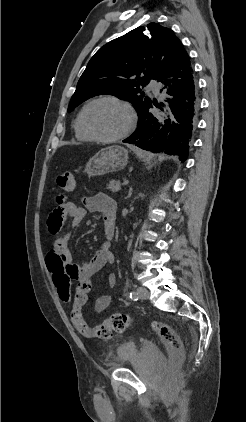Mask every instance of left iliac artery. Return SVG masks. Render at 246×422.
<instances>
[{"instance_id":"44dca946","label":"left iliac artery","mask_w":246,"mask_h":422,"mask_svg":"<svg viewBox=\"0 0 246 422\" xmlns=\"http://www.w3.org/2000/svg\"><path fill=\"white\" fill-rule=\"evenodd\" d=\"M129 297H130L132 300H137V299H138V295H137V293H136V292H130V293H129Z\"/></svg>"}]
</instances>
